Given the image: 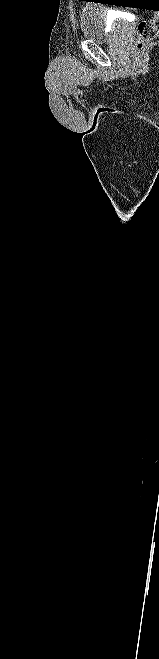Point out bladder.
Listing matches in <instances>:
<instances>
[{
  "label": "bladder",
  "instance_id": "bladder-1",
  "mask_svg": "<svg viewBox=\"0 0 159 659\" xmlns=\"http://www.w3.org/2000/svg\"><path fill=\"white\" fill-rule=\"evenodd\" d=\"M123 23L112 25V31L106 29V9L97 5H86L82 8L80 27L83 36L92 41H106L109 36L122 32Z\"/></svg>",
  "mask_w": 159,
  "mask_h": 659
}]
</instances>
